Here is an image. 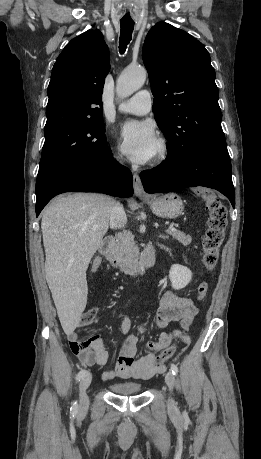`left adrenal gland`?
Returning <instances> with one entry per match:
<instances>
[{
    "label": "left adrenal gland",
    "mask_w": 261,
    "mask_h": 459,
    "mask_svg": "<svg viewBox=\"0 0 261 459\" xmlns=\"http://www.w3.org/2000/svg\"><path fill=\"white\" fill-rule=\"evenodd\" d=\"M159 237L162 238V239H164V240L168 239V236H164V235H162V234H160Z\"/></svg>",
    "instance_id": "a2214340"
}]
</instances>
